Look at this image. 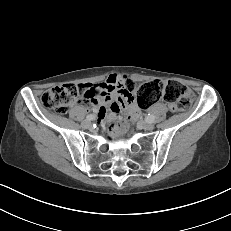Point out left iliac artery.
<instances>
[{"mask_svg":"<svg viewBox=\"0 0 231 231\" xmlns=\"http://www.w3.org/2000/svg\"><path fill=\"white\" fill-rule=\"evenodd\" d=\"M146 121L147 122H153L154 121V116L151 115V114H148L146 117H145Z\"/></svg>","mask_w":231,"mask_h":231,"instance_id":"44dca946","label":"left iliac artery"}]
</instances>
